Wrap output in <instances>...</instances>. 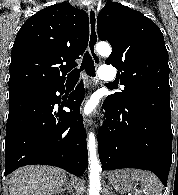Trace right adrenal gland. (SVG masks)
<instances>
[{"label":"right adrenal gland","mask_w":178,"mask_h":195,"mask_svg":"<svg viewBox=\"0 0 178 195\" xmlns=\"http://www.w3.org/2000/svg\"><path fill=\"white\" fill-rule=\"evenodd\" d=\"M67 190V192L71 191L70 183L68 182V179H66L65 186L60 190L62 193H64Z\"/></svg>","instance_id":"2a0ac1e0"}]
</instances>
